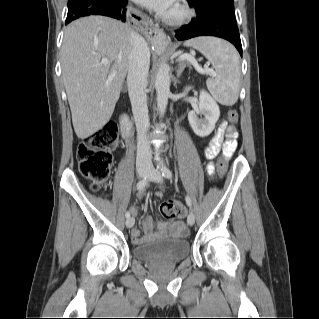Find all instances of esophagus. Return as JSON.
I'll return each instance as SVG.
<instances>
[{
  "label": "esophagus",
  "mask_w": 319,
  "mask_h": 319,
  "mask_svg": "<svg viewBox=\"0 0 319 319\" xmlns=\"http://www.w3.org/2000/svg\"><path fill=\"white\" fill-rule=\"evenodd\" d=\"M142 25L145 26V33L152 43L158 44L167 40L165 32L159 26H148L145 21H142Z\"/></svg>",
  "instance_id": "34e87169"
}]
</instances>
